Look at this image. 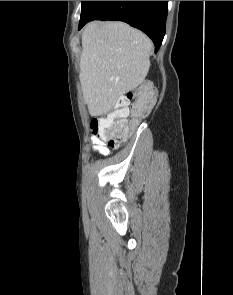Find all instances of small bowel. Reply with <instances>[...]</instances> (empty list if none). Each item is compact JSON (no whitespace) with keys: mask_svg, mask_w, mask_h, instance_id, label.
Wrapping results in <instances>:
<instances>
[{"mask_svg":"<svg viewBox=\"0 0 233 295\" xmlns=\"http://www.w3.org/2000/svg\"><path fill=\"white\" fill-rule=\"evenodd\" d=\"M91 142H92V151L97 152L103 156H107L110 154V150L107 147V145L100 140L98 137L93 136L91 138Z\"/></svg>","mask_w":233,"mask_h":295,"instance_id":"c3829d8e","label":"small bowel"}]
</instances>
